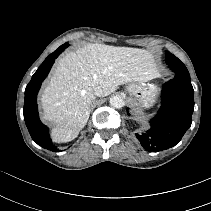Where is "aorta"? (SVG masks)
I'll use <instances>...</instances> for the list:
<instances>
[{
	"label": "aorta",
	"mask_w": 211,
	"mask_h": 211,
	"mask_svg": "<svg viewBox=\"0 0 211 211\" xmlns=\"http://www.w3.org/2000/svg\"><path fill=\"white\" fill-rule=\"evenodd\" d=\"M110 104L115 108H121L125 105V101L123 97L116 95L110 98Z\"/></svg>",
	"instance_id": "obj_1"
}]
</instances>
